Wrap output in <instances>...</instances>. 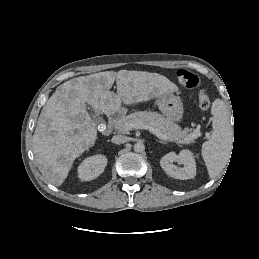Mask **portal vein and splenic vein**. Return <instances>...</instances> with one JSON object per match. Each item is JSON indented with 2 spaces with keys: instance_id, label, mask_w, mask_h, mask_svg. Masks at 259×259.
Returning <instances> with one entry per match:
<instances>
[{
  "instance_id": "1",
  "label": "portal vein and splenic vein",
  "mask_w": 259,
  "mask_h": 259,
  "mask_svg": "<svg viewBox=\"0 0 259 259\" xmlns=\"http://www.w3.org/2000/svg\"><path fill=\"white\" fill-rule=\"evenodd\" d=\"M125 128L128 131H130L132 129H147V130H149L150 133L156 135L159 139L166 140V141L168 140L167 136L165 134H163L159 129L154 128L152 126L144 125L140 121L126 123ZM194 136H195V134L192 135V137H194ZM198 136H201V133H199Z\"/></svg>"
}]
</instances>
